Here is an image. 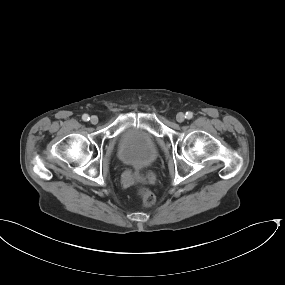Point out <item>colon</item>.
Returning a JSON list of instances; mask_svg holds the SVG:
<instances>
[{
	"label": "colon",
	"instance_id": "colon-1",
	"mask_svg": "<svg viewBox=\"0 0 285 285\" xmlns=\"http://www.w3.org/2000/svg\"><path fill=\"white\" fill-rule=\"evenodd\" d=\"M139 197L141 199V203L145 207L152 206L156 201L155 194L147 188L141 187L138 190Z\"/></svg>",
	"mask_w": 285,
	"mask_h": 285
}]
</instances>
